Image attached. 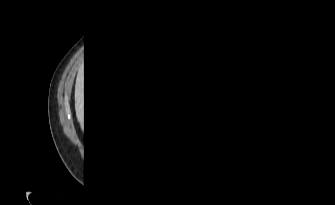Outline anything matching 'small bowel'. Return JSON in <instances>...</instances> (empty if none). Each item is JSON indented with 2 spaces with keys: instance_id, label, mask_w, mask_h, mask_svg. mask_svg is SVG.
Here are the masks:
<instances>
[{
  "instance_id": "1",
  "label": "small bowel",
  "mask_w": 335,
  "mask_h": 205,
  "mask_svg": "<svg viewBox=\"0 0 335 205\" xmlns=\"http://www.w3.org/2000/svg\"><path fill=\"white\" fill-rule=\"evenodd\" d=\"M221 60V58H215V61H220Z\"/></svg>"
}]
</instances>
